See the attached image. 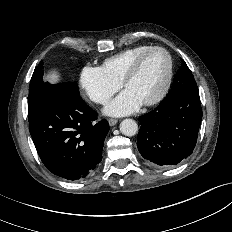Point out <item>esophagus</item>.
Listing matches in <instances>:
<instances>
[{
    "mask_svg": "<svg viewBox=\"0 0 232 232\" xmlns=\"http://www.w3.org/2000/svg\"><path fill=\"white\" fill-rule=\"evenodd\" d=\"M117 122H118L117 119H113V118L108 119V123H109L110 126L116 125Z\"/></svg>",
    "mask_w": 232,
    "mask_h": 232,
    "instance_id": "34e87169",
    "label": "esophagus"
}]
</instances>
